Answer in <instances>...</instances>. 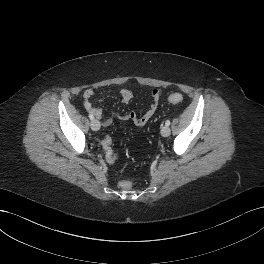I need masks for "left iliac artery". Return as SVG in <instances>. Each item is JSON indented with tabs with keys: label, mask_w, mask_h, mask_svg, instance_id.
Wrapping results in <instances>:
<instances>
[{
	"label": "left iliac artery",
	"mask_w": 264,
	"mask_h": 264,
	"mask_svg": "<svg viewBox=\"0 0 264 264\" xmlns=\"http://www.w3.org/2000/svg\"><path fill=\"white\" fill-rule=\"evenodd\" d=\"M165 124H166L167 126H169V125H170V120H167V121L165 122Z\"/></svg>",
	"instance_id": "obj_1"
}]
</instances>
